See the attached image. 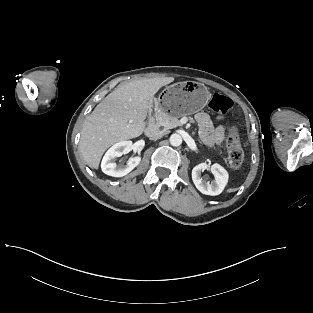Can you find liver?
<instances>
[{
	"label": "liver",
	"instance_id": "liver-1",
	"mask_svg": "<svg viewBox=\"0 0 313 313\" xmlns=\"http://www.w3.org/2000/svg\"><path fill=\"white\" fill-rule=\"evenodd\" d=\"M173 81V77L143 78L108 94L83 124L79 149L87 165L98 169L102 155L111 145L140 136L154 95Z\"/></svg>",
	"mask_w": 313,
	"mask_h": 313
}]
</instances>
